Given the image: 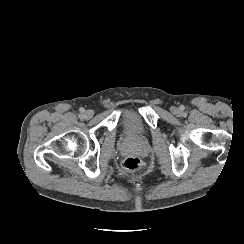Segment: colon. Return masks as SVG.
Here are the masks:
<instances>
[{
  "mask_svg": "<svg viewBox=\"0 0 244 244\" xmlns=\"http://www.w3.org/2000/svg\"><path fill=\"white\" fill-rule=\"evenodd\" d=\"M121 168L129 172H137L143 168V161L137 156H129L122 160Z\"/></svg>",
  "mask_w": 244,
  "mask_h": 244,
  "instance_id": "obj_1",
  "label": "colon"
}]
</instances>
